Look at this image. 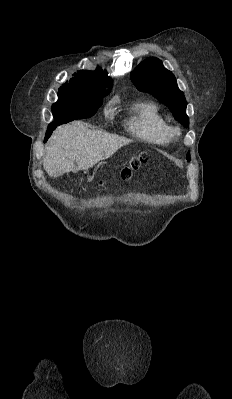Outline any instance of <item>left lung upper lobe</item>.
Returning a JSON list of instances; mask_svg holds the SVG:
<instances>
[{"label":"left lung upper lobe","mask_w":232,"mask_h":399,"mask_svg":"<svg viewBox=\"0 0 232 399\" xmlns=\"http://www.w3.org/2000/svg\"><path fill=\"white\" fill-rule=\"evenodd\" d=\"M130 78L139 90L154 95L170 109L178 122L189 127L184 93L179 90L173 73L163 66L161 60L155 57L146 59L131 72ZM187 161H190V152L187 153Z\"/></svg>","instance_id":"1"}]
</instances>
